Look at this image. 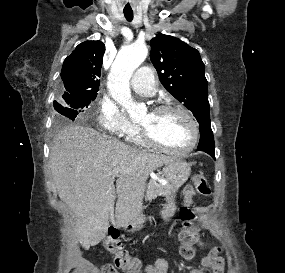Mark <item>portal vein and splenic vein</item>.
Returning <instances> with one entry per match:
<instances>
[{"label":"portal vein and splenic vein","instance_id":"obj_1","mask_svg":"<svg viewBox=\"0 0 285 273\" xmlns=\"http://www.w3.org/2000/svg\"><path fill=\"white\" fill-rule=\"evenodd\" d=\"M119 173H120V169H119V168H115V169H113V170L111 171V175H112L113 177L119 176Z\"/></svg>","mask_w":285,"mask_h":273}]
</instances>
